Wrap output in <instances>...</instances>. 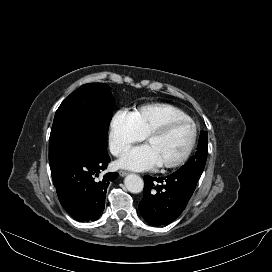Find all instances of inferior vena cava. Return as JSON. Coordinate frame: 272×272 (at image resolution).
I'll return each mask as SVG.
<instances>
[{"label":"inferior vena cava","instance_id":"inferior-vena-cava-1","mask_svg":"<svg viewBox=\"0 0 272 272\" xmlns=\"http://www.w3.org/2000/svg\"><path fill=\"white\" fill-rule=\"evenodd\" d=\"M120 150H121V146H115V147H113V148L111 149V151H112V153H113L114 155H118V153L120 152Z\"/></svg>","mask_w":272,"mask_h":272}]
</instances>
